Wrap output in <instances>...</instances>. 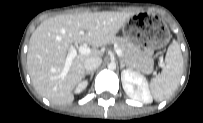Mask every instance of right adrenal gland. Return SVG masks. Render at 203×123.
Listing matches in <instances>:
<instances>
[{
    "label": "right adrenal gland",
    "instance_id": "obj_1",
    "mask_svg": "<svg viewBox=\"0 0 203 123\" xmlns=\"http://www.w3.org/2000/svg\"><path fill=\"white\" fill-rule=\"evenodd\" d=\"M85 75H90V80H92L94 71H86Z\"/></svg>",
    "mask_w": 203,
    "mask_h": 123
}]
</instances>
